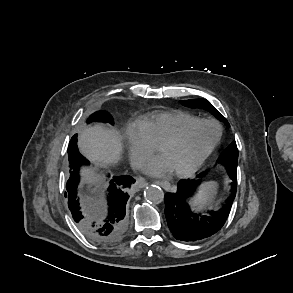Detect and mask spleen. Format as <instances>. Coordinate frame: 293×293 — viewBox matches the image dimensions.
Returning <instances> with one entry per match:
<instances>
[{
	"mask_svg": "<svg viewBox=\"0 0 293 293\" xmlns=\"http://www.w3.org/2000/svg\"><path fill=\"white\" fill-rule=\"evenodd\" d=\"M218 183L215 181H207L199 185L197 193L191 198L190 203L197 209H202L213 202L217 194Z\"/></svg>",
	"mask_w": 293,
	"mask_h": 293,
	"instance_id": "obj_1",
	"label": "spleen"
}]
</instances>
